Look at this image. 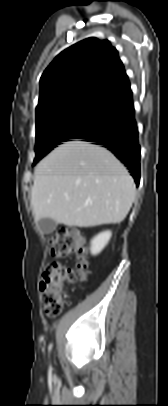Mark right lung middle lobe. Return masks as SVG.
<instances>
[{
  "label": "right lung middle lobe",
  "mask_w": 168,
  "mask_h": 406,
  "mask_svg": "<svg viewBox=\"0 0 168 406\" xmlns=\"http://www.w3.org/2000/svg\"><path fill=\"white\" fill-rule=\"evenodd\" d=\"M108 117L107 102L86 100L46 114L36 121L35 165L61 142L77 139Z\"/></svg>",
  "instance_id": "dd1d6c3e"
}]
</instances>
